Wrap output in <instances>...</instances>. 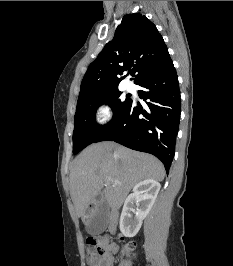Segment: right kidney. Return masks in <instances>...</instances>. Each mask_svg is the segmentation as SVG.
Segmentation results:
<instances>
[{"instance_id":"ca27d5eb","label":"right kidney","mask_w":233,"mask_h":266,"mask_svg":"<svg viewBox=\"0 0 233 266\" xmlns=\"http://www.w3.org/2000/svg\"><path fill=\"white\" fill-rule=\"evenodd\" d=\"M160 187V183L153 179L143 180L134 186L133 193L125 200L120 217V231L124 236L134 237L139 232L143 220L155 202Z\"/></svg>"}]
</instances>
